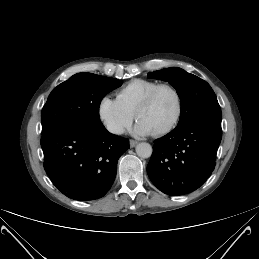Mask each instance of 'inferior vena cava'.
<instances>
[{
	"label": "inferior vena cava",
	"mask_w": 259,
	"mask_h": 259,
	"mask_svg": "<svg viewBox=\"0 0 259 259\" xmlns=\"http://www.w3.org/2000/svg\"><path fill=\"white\" fill-rule=\"evenodd\" d=\"M108 130L114 134H123L125 131L124 128L119 125H110L108 126Z\"/></svg>",
	"instance_id": "602c4592"
}]
</instances>
